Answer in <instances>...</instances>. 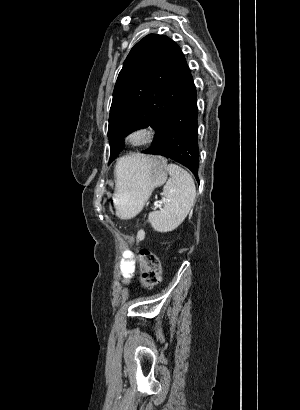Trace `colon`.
<instances>
[{"label":"colon","instance_id":"1","mask_svg":"<svg viewBox=\"0 0 300 410\" xmlns=\"http://www.w3.org/2000/svg\"><path fill=\"white\" fill-rule=\"evenodd\" d=\"M138 259L142 270V286L144 288L156 286L161 280L158 256L151 250L142 248L138 252Z\"/></svg>","mask_w":300,"mask_h":410}]
</instances>
